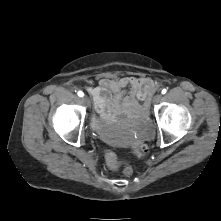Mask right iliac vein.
<instances>
[{
  "instance_id": "right-iliac-vein-1",
  "label": "right iliac vein",
  "mask_w": 221,
  "mask_h": 221,
  "mask_svg": "<svg viewBox=\"0 0 221 221\" xmlns=\"http://www.w3.org/2000/svg\"><path fill=\"white\" fill-rule=\"evenodd\" d=\"M82 101H83V103L85 104V105H89V98L87 97V96H84L83 98H82Z\"/></svg>"
}]
</instances>
